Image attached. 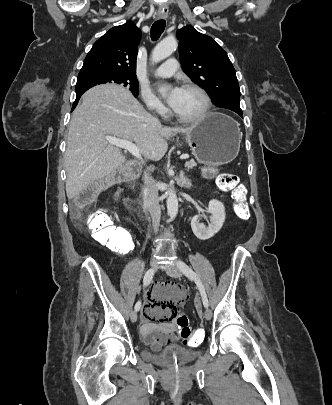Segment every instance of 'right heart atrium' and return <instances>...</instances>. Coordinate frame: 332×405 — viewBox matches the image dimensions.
<instances>
[{
    "label": "right heart atrium",
    "mask_w": 332,
    "mask_h": 405,
    "mask_svg": "<svg viewBox=\"0 0 332 405\" xmlns=\"http://www.w3.org/2000/svg\"><path fill=\"white\" fill-rule=\"evenodd\" d=\"M140 97L145 105V107L152 113L159 115H165L167 113L166 107L163 103L153 94V92L146 88L142 87L140 89Z\"/></svg>",
    "instance_id": "d8ad5b80"
}]
</instances>
